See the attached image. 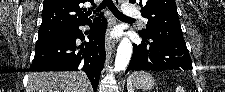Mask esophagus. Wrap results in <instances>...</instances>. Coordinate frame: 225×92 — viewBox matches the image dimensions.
Here are the masks:
<instances>
[{"label": "esophagus", "instance_id": "1", "mask_svg": "<svg viewBox=\"0 0 225 92\" xmlns=\"http://www.w3.org/2000/svg\"><path fill=\"white\" fill-rule=\"evenodd\" d=\"M116 5H120V0H114ZM110 24L113 25L114 24V20L111 19ZM116 45V41L111 39L110 36L106 37V42H105V49L106 51H109L111 49H113Z\"/></svg>", "mask_w": 225, "mask_h": 92}]
</instances>
